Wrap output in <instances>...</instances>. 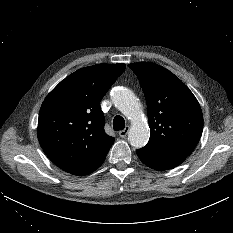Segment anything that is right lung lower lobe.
I'll return each mask as SVG.
<instances>
[{"mask_svg": "<svg viewBox=\"0 0 233 233\" xmlns=\"http://www.w3.org/2000/svg\"><path fill=\"white\" fill-rule=\"evenodd\" d=\"M104 162V161H103ZM103 162H101L97 167H95L92 171H90L89 173H87V174H90V173H92L93 171H95L96 169H98L100 166H101V164L103 163ZM86 174V175H87Z\"/></svg>", "mask_w": 233, "mask_h": 233, "instance_id": "right-lung-lower-lobe-1", "label": "right lung lower lobe"}]
</instances>
